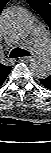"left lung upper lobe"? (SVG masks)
I'll return each instance as SVG.
<instances>
[{
  "label": "left lung upper lobe",
  "instance_id": "left-lung-upper-lobe-1",
  "mask_svg": "<svg viewBox=\"0 0 51 153\" xmlns=\"http://www.w3.org/2000/svg\"><path fill=\"white\" fill-rule=\"evenodd\" d=\"M27 2L41 15L51 30V0H27Z\"/></svg>",
  "mask_w": 51,
  "mask_h": 153
}]
</instances>
